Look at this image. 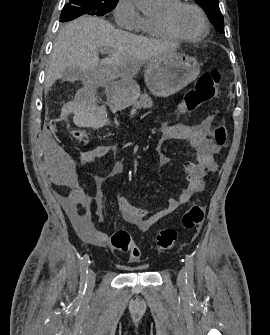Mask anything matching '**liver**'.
Here are the masks:
<instances>
[{
	"mask_svg": "<svg viewBox=\"0 0 270 335\" xmlns=\"http://www.w3.org/2000/svg\"><path fill=\"white\" fill-rule=\"evenodd\" d=\"M178 48V44H165L149 40L144 36H135L123 30H116L110 22L97 16H81L61 28L53 50L50 54V66L45 78V94L55 84L62 80L66 68H80L82 72L102 70L113 78H123L126 84L134 82L145 60L154 56L169 54ZM113 52L109 62L102 64L98 52Z\"/></svg>",
	"mask_w": 270,
	"mask_h": 335,
	"instance_id": "6515ba94",
	"label": "liver"
}]
</instances>
